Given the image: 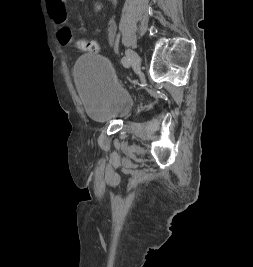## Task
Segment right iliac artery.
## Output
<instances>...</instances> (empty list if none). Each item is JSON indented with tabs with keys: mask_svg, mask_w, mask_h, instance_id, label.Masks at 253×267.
I'll use <instances>...</instances> for the list:
<instances>
[{
	"mask_svg": "<svg viewBox=\"0 0 253 267\" xmlns=\"http://www.w3.org/2000/svg\"><path fill=\"white\" fill-rule=\"evenodd\" d=\"M121 63L126 68L130 67V59L127 56L122 58Z\"/></svg>",
	"mask_w": 253,
	"mask_h": 267,
	"instance_id": "1",
	"label": "right iliac artery"
}]
</instances>
